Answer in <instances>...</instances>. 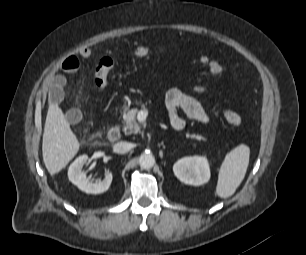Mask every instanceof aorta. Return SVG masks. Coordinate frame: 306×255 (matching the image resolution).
I'll return each instance as SVG.
<instances>
[{
    "mask_svg": "<svg viewBox=\"0 0 306 255\" xmlns=\"http://www.w3.org/2000/svg\"><path fill=\"white\" fill-rule=\"evenodd\" d=\"M155 164V158L151 153H143L139 158V165L143 169H150Z\"/></svg>",
    "mask_w": 306,
    "mask_h": 255,
    "instance_id": "762f6f07",
    "label": "aorta"
}]
</instances>
